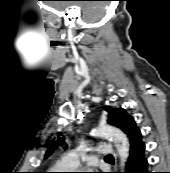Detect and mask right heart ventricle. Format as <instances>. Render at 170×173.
Here are the masks:
<instances>
[{"mask_svg":"<svg viewBox=\"0 0 170 173\" xmlns=\"http://www.w3.org/2000/svg\"><path fill=\"white\" fill-rule=\"evenodd\" d=\"M61 169H69L70 167L68 166V161H67V156L62 157L57 165Z\"/></svg>","mask_w":170,"mask_h":173,"instance_id":"e07e8e85","label":"right heart ventricle"}]
</instances>
